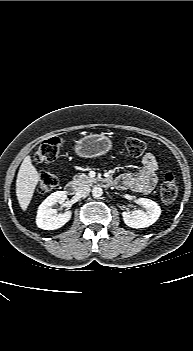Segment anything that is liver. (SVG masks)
Returning <instances> with one entry per match:
<instances>
[{"mask_svg": "<svg viewBox=\"0 0 193 351\" xmlns=\"http://www.w3.org/2000/svg\"><path fill=\"white\" fill-rule=\"evenodd\" d=\"M39 179V173L33 166L31 157L26 156L19 168L16 180V196L23 211L27 209Z\"/></svg>", "mask_w": 193, "mask_h": 351, "instance_id": "obj_1", "label": "liver"}]
</instances>
